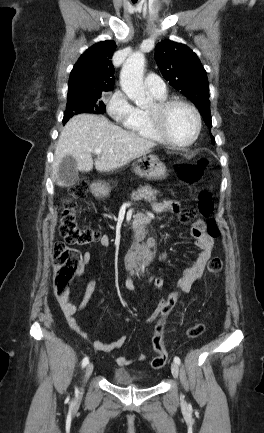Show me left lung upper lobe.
<instances>
[{
    "label": "left lung upper lobe",
    "instance_id": "obj_1",
    "mask_svg": "<svg viewBox=\"0 0 264 433\" xmlns=\"http://www.w3.org/2000/svg\"><path fill=\"white\" fill-rule=\"evenodd\" d=\"M155 57L163 77L195 104L211 128L207 73L197 55L184 44L165 40L157 44Z\"/></svg>",
    "mask_w": 264,
    "mask_h": 433
}]
</instances>
